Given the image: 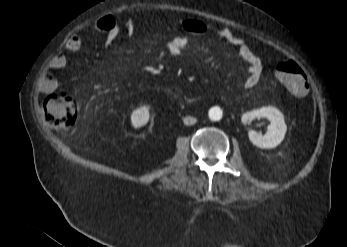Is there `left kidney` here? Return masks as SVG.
I'll return each mask as SVG.
<instances>
[{
	"mask_svg": "<svg viewBox=\"0 0 347 247\" xmlns=\"http://www.w3.org/2000/svg\"><path fill=\"white\" fill-rule=\"evenodd\" d=\"M255 118H266L270 121V125L268 126V131L265 135L250 130L248 132L250 141L254 145L263 149H272L277 147L283 141L287 131L283 114L277 108L262 107L243 114L242 122L247 124Z\"/></svg>",
	"mask_w": 347,
	"mask_h": 247,
	"instance_id": "1",
	"label": "left kidney"
}]
</instances>
